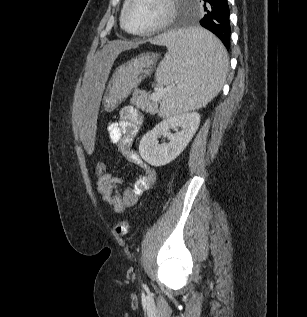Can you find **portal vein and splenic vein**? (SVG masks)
<instances>
[{
    "label": "portal vein and splenic vein",
    "mask_w": 307,
    "mask_h": 317,
    "mask_svg": "<svg viewBox=\"0 0 307 317\" xmlns=\"http://www.w3.org/2000/svg\"><path fill=\"white\" fill-rule=\"evenodd\" d=\"M171 87H167L163 90H160V91H155L151 94V99L153 101H159L166 93L167 91L170 89Z\"/></svg>",
    "instance_id": "obj_1"
}]
</instances>
